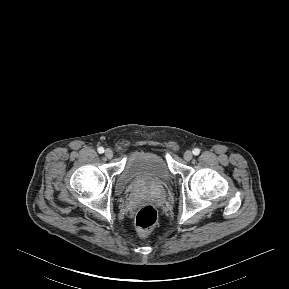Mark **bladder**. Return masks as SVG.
Returning a JSON list of instances; mask_svg holds the SVG:
<instances>
[{
  "instance_id": "bladder-1",
  "label": "bladder",
  "mask_w": 289,
  "mask_h": 289,
  "mask_svg": "<svg viewBox=\"0 0 289 289\" xmlns=\"http://www.w3.org/2000/svg\"><path fill=\"white\" fill-rule=\"evenodd\" d=\"M172 181V173L166 161L158 154L149 151H135L127 159L117 178L115 189L122 194L128 188L162 187Z\"/></svg>"
}]
</instances>
